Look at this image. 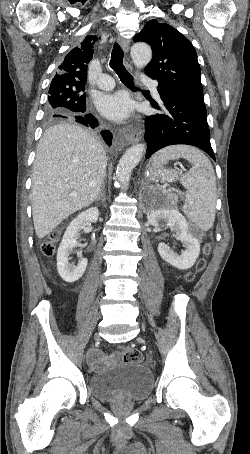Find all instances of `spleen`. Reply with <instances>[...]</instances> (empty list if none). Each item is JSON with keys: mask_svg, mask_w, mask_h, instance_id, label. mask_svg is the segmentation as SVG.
Instances as JSON below:
<instances>
[{"mask_svg": "<svg viewBox=\"0 0 250 454\" xmlns=\"http://www.w3.org/2000/svg\"><path fill=\"white\" fill-rule=\"evenodd\" d=\"M187 159L192 167L180 178L187 189L183 211L189 220L202 231H208L214 223L217 188L214 169L209 159L197 148L188 145L168 146L152 158V169L158 170L169 160Z\"/></svg>", "mask_w": 250, "mask_h": 454, "instance_id": "3e777b00", "label": "spleen"}]
</instances>
